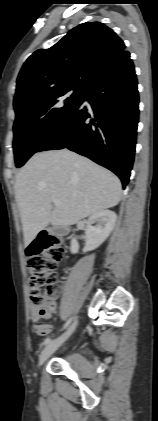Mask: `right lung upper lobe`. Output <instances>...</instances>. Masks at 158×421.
<instances>
[{"instance_id": "1", "label": "right lung upper lobe", "mask_w": 158, "mask_h": 421, "mask_svg": "<svg viewBox=\"0 0 158 421\" xmlns=\"http://www.w3.org/2000/svg\"><path fill=\"white\" fill-rule=\"evenodd\" d=\"M123 41L100 22L70 30L57 44L34 52L17 78L14 105L37 93L84 87L105 65L126 53Z\"/></svg>"}]
</instances>
